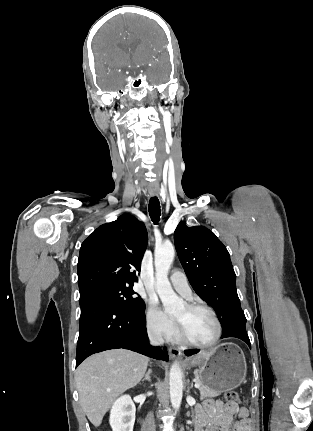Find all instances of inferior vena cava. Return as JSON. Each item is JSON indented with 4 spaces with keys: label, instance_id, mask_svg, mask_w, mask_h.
<instances>
[{
    "label": "inferior vena cava",
    "instance_id": "obj_1",
    "mask_svg": "<svg viewBox=\"0 0 313 431\" xmlns=\"http://www.w3.org/2000/svg\"><path fill=\"white\" fill-rule=\"evenodd\" d=\"M148 337L152 345L154 346L163 345V338L161 335V331L158 328H149Z\"/></svg>",
    "mask_w": 313,
    "mask_h": 431
}]
</instances>
